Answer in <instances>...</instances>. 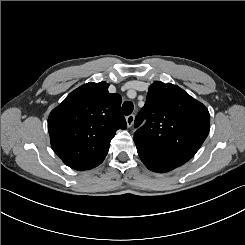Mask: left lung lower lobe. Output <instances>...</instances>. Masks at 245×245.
<instances>
[{
    "mask_svg": "<svg viewBox=\"0 0 245 245\" xmlns=\"http://www.w3.org/2000/svg\"><path fill=\"white\" fill-rule=\"evenodd\" d=\"M136 147L142 162L149 170L154 172H169L187 162L168 151Z\"/></svg>",
    "mask_w": 245,
    "mask_h": 245,
    "instance_id": "obj_1",
    "label": "left lung lower lobe"
}]
</instances>
